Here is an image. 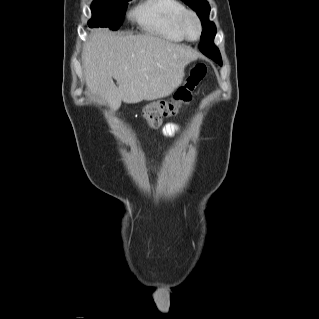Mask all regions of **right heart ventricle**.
Wrapping results in <instances>:
<instances>
[{"mask_svg":"<svg viewBox=\"0 0 319 319\" xmlns=\"http://www.w3.org/2000/svg\"><path fill=\"white\" fill-rule=\"evenodd\" d=\"M186 10L179 0H146L132 12V17L146 33L181 42L185 38L179 32L177 22Z\"/></svg>","mask_w":319,"mask_h":319,"instance_id":"e07e8e85","label":"right heart ventricle"}]
</instances>
